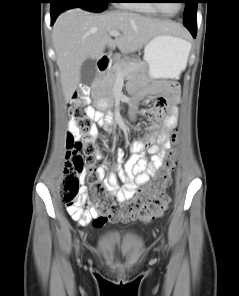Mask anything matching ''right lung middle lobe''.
Returning a JSON list of instances; mask_svg holds the SVG:
<instances>
[{"label": "right lung middle lobe", "instance_id": "1", "mask_svg": "<svg viewBox=\"0 0 239 296\" xmlns=\"http://www.w3.org/2000/svg\"><path fill=\"white\" fill-rule=\"evenodd\" d=\"M57 0H50L51 6L54 5V2ZM63 10L70 8L80 7L88 11L93 12H102L106 9L107 4L111 0H60Z\"/></svg>", "mask_w": 239, "mask_h": 296}]
</instances>
